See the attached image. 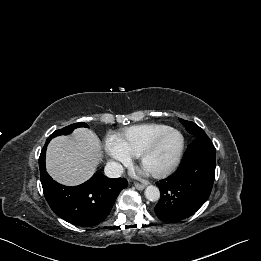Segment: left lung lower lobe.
<instances>
[{
  "mask_svg": "<svg viewBox=\"0 0 261 261\" xmlns=\"http://www.w3.org/2000/svg\"><path fill=\"white\" fill-rule=\"evenodd\" d=\"M216 150L206 134L187 148L179 169L157 183L161 197L155 206L164 222H178L196 212L208 199L215 177Z\"/></svg>",
  "mask_w": 261,
  "mask_h": 261,
  "instance_id": "obj_1",
  "label": "left lung lower lobe"
}]
</instances>
